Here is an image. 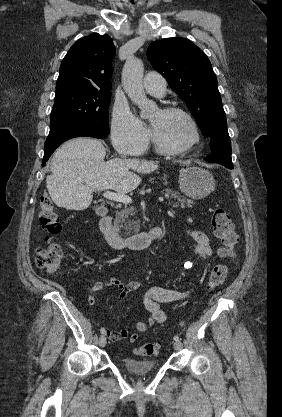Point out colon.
<instances>
[{"label":"colon","mask_w":282,"mask_h":417,"mask_svg":"<svg viewBox=\"0 0 282 417\" xmlns=\"http://www.w3.org/2000/svg\"><path fill=\"white\" fill-rule=\"evenodd\" d=\"M39 220L45 232V246L36 253L35 263L48 273L59 274L62 272L64 257L60 246L53 241V237L61 232L62 223L47 191L41 195L39 200ZM210 221L216 237L222 242L223 255L232 256L238 243V235L228 212L217 208L212 211ZM227 275V266L216 264L211 270L207 287L211 290L219 287ZM156 349V344H151V347H140L139 355L153 356Z\"/></svg>","instance_id":"colon-1"}]
</instances>
